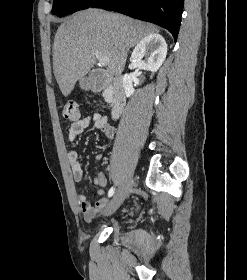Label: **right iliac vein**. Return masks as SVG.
Segmentation results:
<instances>
[{"instance_id":"63e3f726","label":"right iliac vein","mask_w":247,"mask_h":280,"mask_svg":"<svg viewBox=\"0 0 247 280\" xmlns=\"http://www.w3.org/2000/svg\"><path fill=\"white\" fill-rule=\"evenodd\" d=\"M132 187V181L128 180L125 183L121 184L117 191L115 192L114 197L110 201L109 205L104 211L105 215H110L114 213L122 204V202L125 200V198L128 196L130 190Z\"/></svg>"}]
</instances>
